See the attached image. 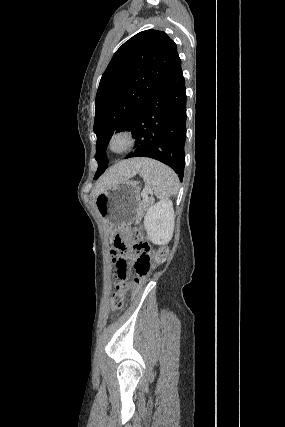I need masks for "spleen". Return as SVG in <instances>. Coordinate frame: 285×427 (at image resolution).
Returning <instances> with one entry per match:
<instances>
[{"label": "spleen", "mask_w": 285, "mask_h": 427, "mask_svg": "<svg viewBox=\"0 0 285 427\" xmlns=\"http://www.w3.org/2000/svg\"><path fill=\"white\" fill-rule=\"evenodd\" d=\"M139 174L148 189L153 190L157 198L168 199L177 193L179 179L168 166L151 159H145Z\"/></svg>", "instance_id": "1"}]
</instances>
